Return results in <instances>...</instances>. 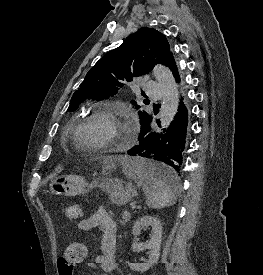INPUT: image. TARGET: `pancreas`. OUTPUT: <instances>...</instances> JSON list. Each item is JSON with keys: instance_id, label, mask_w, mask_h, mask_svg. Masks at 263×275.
Instances as JSON below:
<instances>
[{"instance_id": "obj_1", "label": "pancreas", "mask_w": 263, "mask_h": 275, "mask_svg": "<svg viewBox=\"0 0 263 275\" xmlns=\"http://www.w3.org/2000/svg\"><path fill=\"white\" fill-rule=\"evenodd\" d=\"M122 217L124 221L127 222L131 219V214L128 211H124V213L122 214Z\"/></svg>"}]
</instances>
